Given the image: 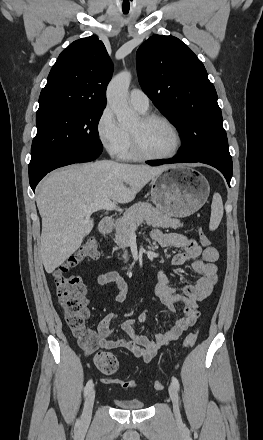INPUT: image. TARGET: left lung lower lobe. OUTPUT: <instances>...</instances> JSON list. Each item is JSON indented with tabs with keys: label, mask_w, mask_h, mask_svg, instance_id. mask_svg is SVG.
<instances>
[{
	"label": "left lung lower lobe",
	"mask_w": 263,
	"mask_h": 440,
	"mask_svg": "<svg viewBox=\"0 0 263 440\" xmlns=\"http://www.w3.org/2000/svg\"><path fill=\"white\" fill-rule=\"evenodd\" d=\"M183 162H200V163H205V164H208V165H211V166L217 168L224 175L228 185L230 186V181H231L232 173H233L232 158L231 157H214V158H207V159H202V160L189 161L188 159L183 158L180 155H177L173 159L160 160V161H148L147 164L154 166V165H162V164H169V163H183Z\"/></svg>",
	"instance_id": "1"
}]
</instances>
